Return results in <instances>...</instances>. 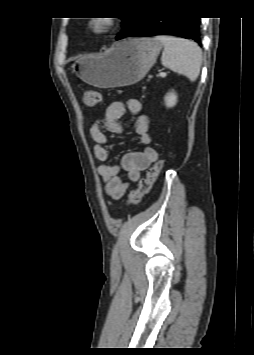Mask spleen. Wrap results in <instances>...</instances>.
Segmentation results:
<instances>
[{"mask_svg": "<svg viewBox=\"0 0 254 355\" xmlns=\"http://www.w3.org/2000/svg\"><path fill=\"white\" fill-rule=\"evenodd\" d=\"M155 39L164 45L162 65L195 81L202 64L200 47L193 41L172 36H156Z\"/></svg>", "mask_w": 254, "mask_h": 355, "instance_id": "obj_1", "label": "spleen"}]
</instances>
